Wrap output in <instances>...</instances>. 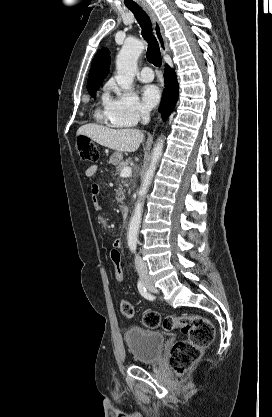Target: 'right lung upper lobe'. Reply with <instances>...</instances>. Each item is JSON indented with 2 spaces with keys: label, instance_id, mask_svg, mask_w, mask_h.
I'll return each instance as SVG.
<instances>
[{
  "label": "right lung upper lobe",
  "instance_id": "1",
  "mask_svg": "<svg viewBox=\"0 0 272 417\" xmlns=\"http://www.w3.org/2000/svg\"><path fill=\"white\" fill-rule=\"evenodd\" d=\"M110 56L109 51L106 48L101 49L95 55L91 69L89 72V79L87 82L88 91L97 90L99 85L104 80L105 76L109 72Z\"/></svg>",
  "mask_w": 272,
  "mask_h": 417
}]
</instances>
